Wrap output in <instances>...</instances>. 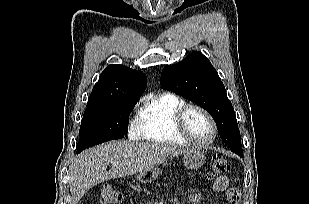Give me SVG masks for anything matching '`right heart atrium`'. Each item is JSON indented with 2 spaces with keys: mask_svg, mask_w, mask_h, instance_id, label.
<instances>
[{
  "mask_svg": "<svg viewBox=\"0 0 309 204\" xmlns=\"http://www.w3.org/2000/svg\"><path fill=\"white\" fill-rule=\"evenodd\" d=\"M131 133H132V135H134V136H138V130H137V128L132 129Z\"/></svg>",
  "mask_w": 309,
  "mask_h": 204,
  "instance_id": "obj_1",
  "label": "right heart atrium"
}]
</instances>
